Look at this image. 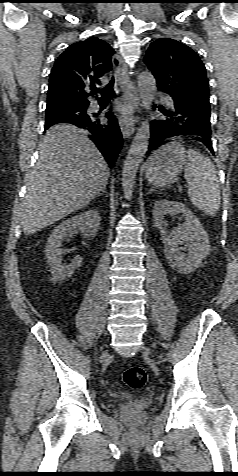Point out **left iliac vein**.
I'll return each instance as SVG.
<instances>
[{"label": "left iliac vein", "mask_w": 238, "mask_h": 476, "mask_svg": "<svg viewBox=\"0 0 238 476\" xmlns=\"http://www.w3.org/2000/svg\"><path fill=\"white\" fill-rule=\"evenodd\" d=\"M143 351H144L145 354H149V353H150V350H149L148 348H146V347H143Z\"/></svg>", "instance_id": "4c4485c4"}]
</instances>
